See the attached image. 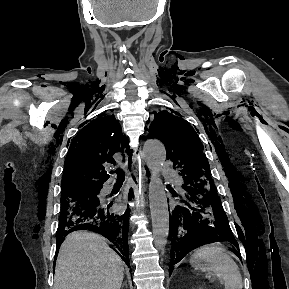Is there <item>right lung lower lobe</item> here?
Here are the masks:
<instances>
[{
	"instance_id": "98d812e1",
	"label": "right lung lower lobe",
	"mask_w": 289,
	"mask_h": 289,
	"mask_svg": "<svg viewBox=\"0 0 289 289\" xmlns=\"http://www.w3.org/2000/svg\"><path fill=\"white\" fill-rule=\"evenodd\" d=\"M111 206L112 202L105 204L98 200L82 210L73 212L71 216L64 220L59 221L56 233L57 250H59L61 243L69 233L77 230H90L109 239L115 246L114 250L130 267L128 211L124 215H119L113 211Z\"/></svg>"
}]
</instances>
